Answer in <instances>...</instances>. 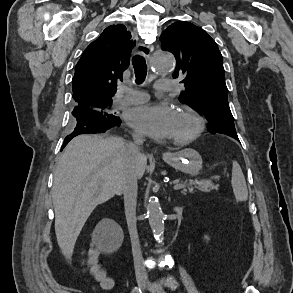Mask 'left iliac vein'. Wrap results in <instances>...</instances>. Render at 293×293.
Masks as SVG:
<instances>
[{
  "label": "left iliac vein",
  "instance_id": "obj_1",
  "mask_svg": "<svg viewBox=\"0 0 293 293\" xmlns=\"http://www.w3.org/2000/svg\"><path fill=\"white\" fill-rule=\"evenodd\" d=\"M146 287L151 293H165L161 287L152 284L150 281L146 282Z\"/></svg>",
  "mask_w": 293,
  "mask_h": 293
}]
</instances>
